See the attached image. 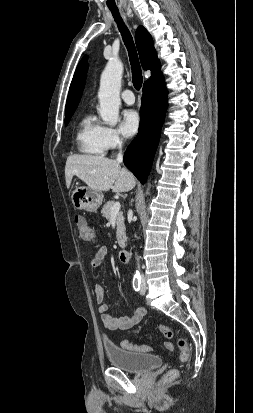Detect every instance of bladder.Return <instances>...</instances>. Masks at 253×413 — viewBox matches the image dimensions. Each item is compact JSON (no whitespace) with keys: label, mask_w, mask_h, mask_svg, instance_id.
I'll list each match as a JSON object with an SVG mask.
<instances>
[{"label":"bladder","mask_w":253,"mask_h":413,"mask_svg":"<svg viewBox=\"0 0 253 413\" xmlns=\"http://www.w3.org/2000/svg\"><path fill=\"white\" fill-rule=\"evenodd\" d=\"M103 347L109 362L127 372H144L162 364L161 357L156 354L129 351L110 341H104Z\"/></svg>","instance_id":"bladder-1"}]
</instances>
